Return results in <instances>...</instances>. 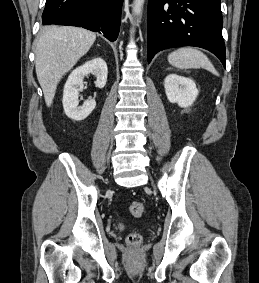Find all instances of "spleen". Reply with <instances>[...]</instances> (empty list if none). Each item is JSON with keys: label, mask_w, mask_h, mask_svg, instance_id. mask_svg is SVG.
<instances>
[{"label": "spleen", "mask_w": 259, "mask_h": 283, "mask_svg": "<svg viewBox=\"0 0 259 283\" xmlns=\"http://www.w3.org/2000/svg\"><path fill=\"white\" fill-rule=\"evenodd\" d=\"M168 62L179 69L203 68L214 75H219L207 56L194 48H180L168 56Z\"/></svg>", "instance_id": "3e777b00"}]
</instances>
